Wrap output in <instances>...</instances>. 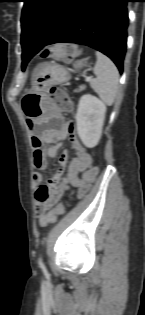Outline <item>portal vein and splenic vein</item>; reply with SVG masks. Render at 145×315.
Segmentation results:
<instances>
[{
    "label": "portal vein and splenic vein",
    "instance_id": "18ae733b",
    "mask_svg": "<svg viewBox=\"0 0 145 315\" xmlns=\"http://www.w3.org/2000/svg\"><path fill=\"white\" fill-rule=\"evenodd\" d=\"M91 78H92L91 76H86V77H85L86 81H90Z\"/></svg>",
    "mask_w": 145,
    "mask_h": 315
}]
</instances>
